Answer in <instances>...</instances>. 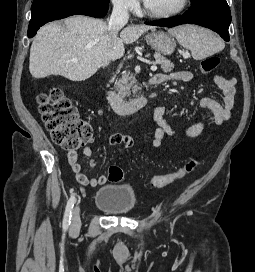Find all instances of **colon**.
<instances>
[{
	"instance_id": "colon-1",
	"label": "colon",
	"mask_w": 255,
	"mask_h": 272,
	"mask_svg": "<svg viewBox=\"0 0 255 272\" xmlns=\"http://www.w3.org/2000/svg\"><path fill=\"white\" fill-rule=\"evenodd\" d=\"M220 63V58L211 55L202 59L200 71L204 74L215 70ZM38 111L41 119L49 131L52 140L67 151H75L89 143L93 138V128L86 121L80 119L77 110L64 97L59 88H52L38 96ZM198 161L191 158L174 172L154 176L151 185L162 188L187 176L197 166ZM123 178L120 167L112 165L109 168V179L113 182Z\"/></svg>"
}]
</instances>
